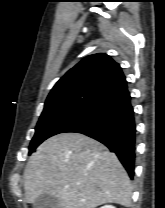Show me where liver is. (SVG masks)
<instances>
[{"label":"liver","mask_w":165,"mask_h":208,"mask_svg":"<svg viewBox=\"0 0 165 208\" xmlns=\"http://www.w3.org/2000/svg\"><path fill=\"white\" fill-rule=\"evenodd\" d=\"M27 203L43 194L61 208H96L105 203L131 205L132 185L117 156L80 133H61L44 141L24 170Z\"/></svg>","instance_id":"6515ba94"}]
</instances>
